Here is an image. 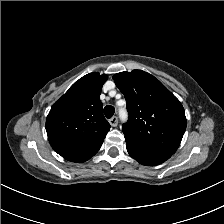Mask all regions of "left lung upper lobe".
Masks as SVG:
<instances>
[{"label": "left lung upper lobe", "mask_w": 224, "mask_h": 224, "mask_svg": "<svg viewBox=\"0 0 224 224\" xmlns=\"http://www.w3.org/2000/svg\"><path fill=\"white\" fill-rule=\"evenodd\" d=\"M113 79L127 102L129 120L122 128L125 139L175 153L187 124L180 101L141 70L121 72Z\"/></svg>", "instance_id": "obj_1"}]
</instances>
